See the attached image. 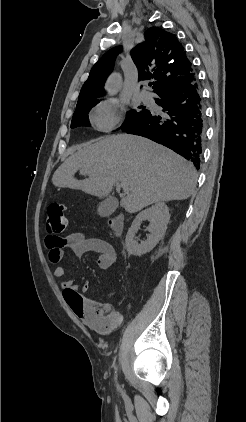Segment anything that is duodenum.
Wrapping results in <instances>:
<instances>
[{"mask_svg": "<svg viewBox=\"0 0 246 422\" xmlns=\"http://www.w3.org/2000/svg\"><path fill=\"white\" fill-rule=\"evenodd\" d=\"M111 227L113 228V230L115 231V233H120L123 229V217L122 216H117L114 219L111 220Z\"/></svg>", "mask_w": 246, "mask_h": 422, "instance_id": "duodenum-1", "label": "duodenum"}]
</instances>
